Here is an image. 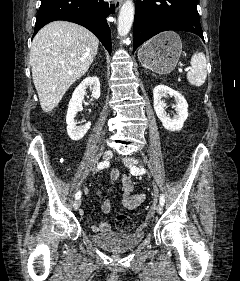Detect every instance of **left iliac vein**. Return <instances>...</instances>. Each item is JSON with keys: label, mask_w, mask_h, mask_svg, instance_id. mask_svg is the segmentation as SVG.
<instances>
[{"label": "left iliac vein", "mask_w": 240, "mask_h": 281, "mask_svg": "<svg viewBox=\"0 0 240 281\" xmlns=\"http://www.w3.org/2000/svg\"><path fill=\"white\" fill-rule=\"evenodd\" d=\"M122 160L124 163L130 166H133L136 163V160L131 157H123ZM156 211L158 214H161L163 212V206L161 204H158V206L156 207Z\"/></svg>", "instance_id": "left-iliac-vein-1"}]
</instances>
